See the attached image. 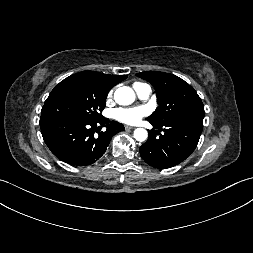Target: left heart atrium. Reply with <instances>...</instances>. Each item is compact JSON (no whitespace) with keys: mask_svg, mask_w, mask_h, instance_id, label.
<instances>
[{"mask_svg":"<svg viewBox=\"0 0 253 253\" xmlns=\"http://www.w3.org/2000/svg\"><path fill=\"white\" fill-rule=\"evenodd\" d=\"M145 115H147L145 107L118 108L114 111V118L126 124L137 123Z\"/></svg>","mask_w":253,"mask_h":253,"instance_id":"39dd6f15","label":"left heart atrium"}]
</instances>
